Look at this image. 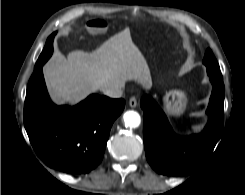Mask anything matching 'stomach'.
Instances as JSON below:
<instances>
[{"instance_id":"1","label":"stomach","mask_w":245,"mask_h":195,"mask_svg":"<svg viewBox=\"0 0 245 195\" xmlns=\"http://www.w3.org/2000/svg\"><path fill=\"white\" fill-rule=\"evenodd\" d=\"M163 104L169 114L179 116L186 108L187 99L182 91L171 90L164 95Z\"/></svg>"}]
</instances>
